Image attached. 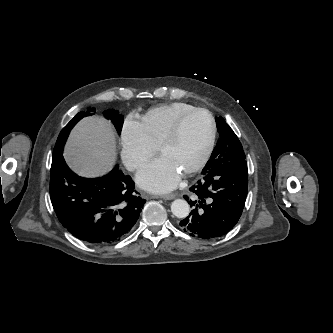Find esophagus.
<instances>
[{
	"mask_svg": "<svg viewBox=\"0 0 333 333\" xmlns=\"http://www.w3.org/2000/svg\"><path fill=\"white\" fill-rule=\"evenodd\" d=\"M145 197H149V198H156V196L153 195H144ZM176 197L175 194H167V195H161L160 198L164 199V200H172Z\"/></svg>",
	"mask_w": 333,
	"mask_h": 333,
	"instance_id": "obj_1",
	"label": "esophagus"
}]
</instances>
